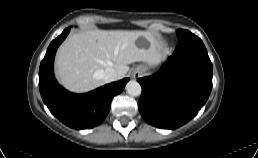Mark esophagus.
<instances>
[{"label": "esophagus", "instance_id": "34e87169", "mask_svg": "<svg viewBox=\"0 0 258 158\" xmlns=\"http://www.w3.org/2000/svg\"><path fill=\"white\" fill-rule=\"evenodd\" d=\"M141 75H142V72L140 70H134L132 72V78L134 79L141 77Z\"/></svg>", "mask_w": 258, "mask_h": 158}]
</instances>
